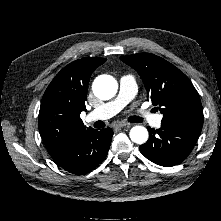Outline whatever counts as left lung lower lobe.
Masks as SVG:
<instances>
[{
  "label": "left lung lower lobe",
  "mask_w": 221,
  "mask_h": 221,
  "mask_svg": "<svg viewBox=\"0 0 221 221\" xmlns=\"http://www.w3.org/2000/svg\"><path fill=\"white\" fill-rule=\"evenodd\" d=\"M149 140L139 147L150 161L161 166L181 163L192 151L202 127L162 123L157 130L148 127Z\"/></svg>",
  "instance_id": "0a47b994"
}]
</instances>
